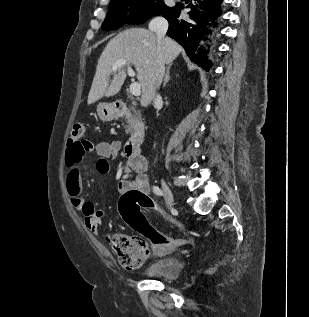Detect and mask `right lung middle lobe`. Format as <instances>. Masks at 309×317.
<instances>
[{"label": "right lung middle lobe", "instance_id": "dd1d6c3e", "mask_svg": "<svg viewBox=\"0 0 309 317\" xmlns=\"http://www.w3.org/2000/svg\"><path fill=\"white\" fill-rule=\"evenodd\" d=\"M134 4L136 5L133 9L137 11L131 13V18H127L128 23L131 24L144 23L152 16L160 15L169 9L162 1L154 3L151 0H111L108 14L101 28L104 31H110L123 26L126 13Z\"/></svg>", "mask_w": 309, "mask_h": 317}]
</instances>
